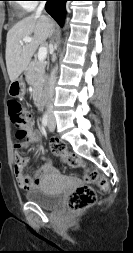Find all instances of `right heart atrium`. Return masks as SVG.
I'll list each match as a JSON object with an SVG mask.
<instances>
[{
  "mask_svg": "<svg viewBox=\"0 0 133 253\" xmlns=\"http://www.w3.org/2000/svg\"><path fill=\"white\" fill-rule=\"evenodd\" d=\"M21 5L25 10H32L36 6V0H23Z\"/></svg>",
  "mask_w": 133,
  "mask_h": 253,
  "instance_id": "right-heart-atrium-1",
  "label": "right heart atrium"
}]
</instances>
